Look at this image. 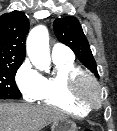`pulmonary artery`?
I'll return each instance as SVG.
<instances>
[{"mask_svg": "<svg viewBox=\"0 0 117 131\" xmlns=\"http://www.w3.org/2000/svg\"><path fill=\"white\" fill-rule=\"evenodd\" d=\"M51 55L53 60H57L61 58H73L72 51L68 47L60 43H56L53 46Z\"/></svg>", "mask_w": 117, "mask_h": 131, "instance_id": "obj_1", "label": "pulmonary artery"}]
</instances>
